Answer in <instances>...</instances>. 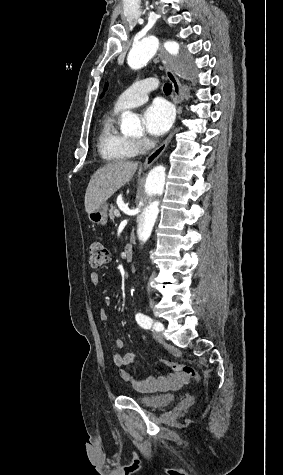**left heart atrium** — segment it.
<instances>
[{
    "label": "left heart atrium",
    "mask_w": 283,
    "mask_h": 475,
    "mask_svg": "<svg viewBox=\"0 0 283 475\" xmlns=\"http://www.w3.org/2000/svg\"><path fill=\"white\" fill-rule=\"evenodd\" d=\"M175 121L174 107L165 100H155L144 111L143 123L148 134L160 137L166 134Z\"/></svg>",
    "instance_id": "obj_1"
}]
</instances>
